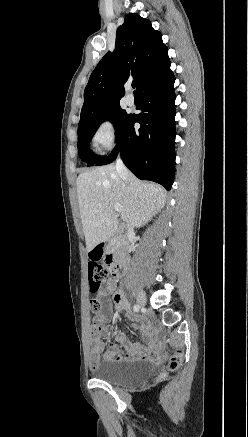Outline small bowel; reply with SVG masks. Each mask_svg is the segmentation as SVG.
Segmentation results:
<instances>
[{
  "mask_svg": "<svg viewBox=\"0 0 248 437\" xmlns=\"http://www.w3.org/2000/svg\"><path fill=\"white\" fill-rule=\"evenodd\" d=\"M110 295H113V300L118 308L124 310L129 308L126 297L118 290V285H116L114 280L107 281L105 285H99V291L97 292L96 299L106 310L110 308ZM108 320L109 315L107 313L100 314L95 318L91 328L92 354L90 364L92 367L95 368L97 366L102 353H104L105 359L113 361H129L136 358L145 359L154 353L153 333L150 331L148 322L144 319H140L137 324H133V328L139 329L144 336V344L138 342L132 343L122 333H116L114 338L122 345L125 353H123L120 346L115 344L110 345L105 350V344L101 340V335L107 332L106 323Z\"/></svg>",
  "mask_w": 248,
  "mask_h": 437,
  "instance_id": "1",
  "label": "small bowel"
}]
</instances>
